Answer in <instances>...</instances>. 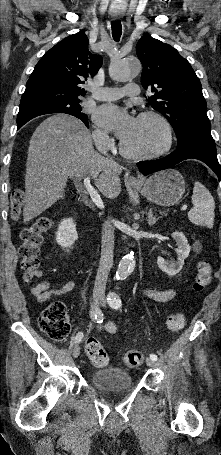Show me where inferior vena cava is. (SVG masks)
Segmentation results:
<instances>
[{
    "label": "inferior vena cava",
    "mask_w": 221,
    "mask_h": 455,
    "mask_svg": "<svg viewBox=\"0 0 221 455\" xmlns=\"http://www.w3.org/2000/svg\"><path fill=\"white\" fill-rule=\"evenodd\" d=\"M111 162L115 163L111 158ZM113 249H114V228L109 219L105 220L102 225V245H101V258L97 276L95 280V287L105 288L108 279L109 271L113 264Z\"/></svg>",
    "instance_id": "1"
}]
</instances>
